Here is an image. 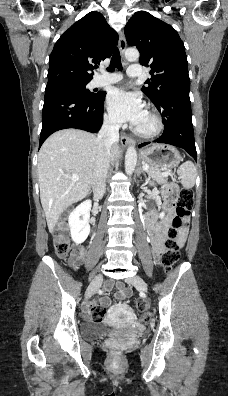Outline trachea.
Listing matches in <instances>:
<instances>
[{
  "instance_id": "1",
  "label": "trachea",
  "mask_w": 228,
  "mask_h": 396,
  "mask_svg": "<svg viewBox=\"0 0 228 396\" xmlns=\"http://www.w3.org/2000/svg\"><path fill=\"white\" fill-rule=\"evenodd\" d=\"M115 68L118 70L122 69V64H121V57H120V52L118 48L114 50L113 56L111 58V62L109 67L107 68L108 71H113Z\"/></svg>"
}]
</instances>
